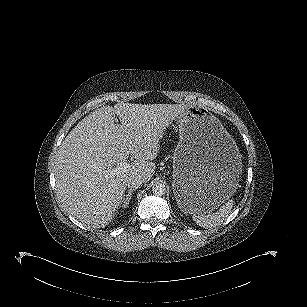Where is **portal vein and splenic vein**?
Wrapping results in <instances>:
<instances>
[{"instance_id":"1","label":"portal vein and splenic vein","mask_w":307,"mask_h":307,"mask_svg":"<svg viewBox=\"0 0 307 307\" xmlns=\"http://www.w3.org/2000/svg\"><path fill=\"white\" fill-rule=\"evenodd\" d=\"M129 168V163L128 162H122L120 164H118L115 168L113 169H109L107 171H105V177L109 178L115 175H119L121 173H124L128 170Z\"/></svg>"}]
</instances>
